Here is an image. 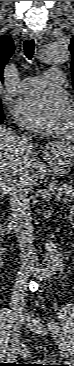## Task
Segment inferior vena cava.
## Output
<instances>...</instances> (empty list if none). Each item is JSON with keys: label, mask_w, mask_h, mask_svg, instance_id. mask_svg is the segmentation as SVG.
Returning <instances> with one entry per match:
<instances>
[{"label": "inferior vena cava", "mask_w": 74, "mask_h": 366, "mask_svg": "<svg viewBox=\"0 0 74 366\" xmlns=\"http://www.w3.org/2000/svg\"><path fill=\"white\" fill-rule=\"evenodd\" d=\"M20 145L30 153L33 149L27 135L20 136ZM29 185L22 177H14L8 188L11 207V225L15 228L19 246L22 252L23 262L20 276L14 284L12 298H23L26 290V280L29 276V264L36 261L34 247V233L30 210Z\"/></svg>", "instance_id": "1"}]
</instances>
